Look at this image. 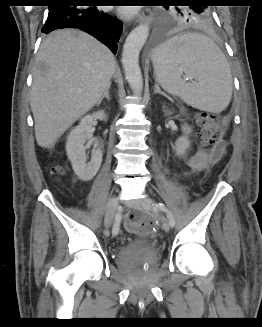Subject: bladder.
I'll return each instance as SVG.
<instances>
[{
	"label": "bladder",
	"mask_w": 262,
	"mask_h": 327,
	"mask_svg": "<svg viewBox=\"0 0 262 327\" xmlns=\"http://www.w3.org/2000/svg\"><path fill=\"white\" fill-rule=\"evenodd\" d=\"M143 250H148L149 252L156 253L155 248L151 245V241L147 238H136L131 242L127 243L119 253V260L126 257H130Z\"/></svg>",
	"instance_id": "bladder-1"
}]
</instances>
